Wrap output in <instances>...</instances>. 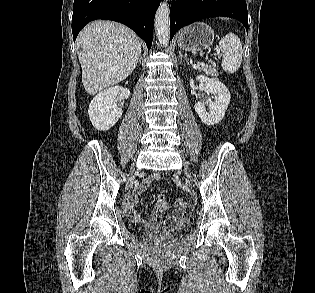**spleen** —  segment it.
Wrapping results in <instances>:
<instances>
[{
    "label": "spleen",
    "mask_w": 315,
    "mask_h": 293,
    "mask_svg": "<svg viewBox=\"0 0 315 293\" xmlns=\"http://www.w3.org/2000/svg\"><path fill=\"white\" fill-rule=\"evenodd\" d=\"M219 47L223 53L222 68L229 74L235 73L242 63V45L238 36L230 33L219 42Z\"/></svg>",
    "instance_id": "3e777b00"
}]
</instances>
